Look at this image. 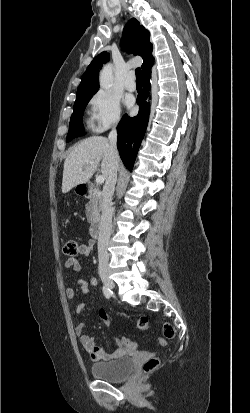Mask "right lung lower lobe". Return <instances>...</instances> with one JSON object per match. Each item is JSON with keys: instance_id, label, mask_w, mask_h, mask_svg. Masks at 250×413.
<instances>
[{"instance_id": "right-lung-lower-lobe-1", "label": "right lung lower lobe", "mask_w": 250, "mask_h": 413, "mask_svg": "<svg viewBox=\"0 0 250 413\" xmlns=\"http://www.w3.org/2000/svg\"><path fill=\"white\" fill-rule=\"evenodd\" d=\"M150 75V70L143 73V90L137 97L139 114L132 118L125 114L117 127V148L124 165L130 171L148 125L149 106L146 99L149 95Z\"/></svg>"}]
</instances>
